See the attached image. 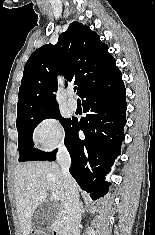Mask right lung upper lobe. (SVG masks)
<instances>
[{
	"instance_id": "obj_1",
	"label": "right lung upper lobe",
	"mask_w": 155,
	"mask_h": 235,
	"mask_svg": "<svg viewBox=\"0 0 155 235\" xmlns=\"http://www.w3.org/2000/svg\"><path fill=\"white\" fill-rule=\"evenodd\" d=\"M116 70V61L99 35L74 21L59 36L56 45H44L28 59L19 88L17 116L58 108L54 94L58 74L68 81L74 80L80 94L85 87Z\"/></svg>"
}]
</instances>
